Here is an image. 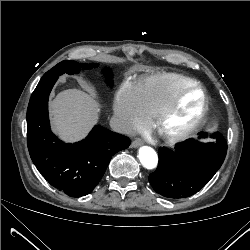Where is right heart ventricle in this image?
I'll list each match as a JSON object with an SVG mask.
<instances>
[{"label": "right heart ventricle", "instance_id": "right-heart-ventricle-1", "mask_svg": "<svg viewBox=\"0 0 250 250\" xmlns=\"http://www.w3.org/2000/svg\"><path fill=\"white\" fill-rule=\"evenodd\" d=\"M193 83V79L182 74L158 73L142 78L134 87L151 121L178 90Z\"/></svg>", "mask_w": 250, "mask_h": 250}]
</instances>
